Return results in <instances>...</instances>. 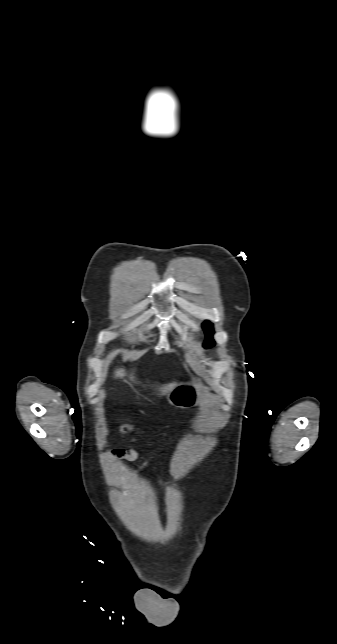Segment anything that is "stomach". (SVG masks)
Masks as SVG:
<instances>
[{
	"label": "stomach",
	"instance_id": "1",
	"mask_svg": "<svg viewBox=\"0 0 337 644\" xmlns=\"http://www.w3.org/2000/svg\"><path fill=\"white\" fill-rule=\"evenodd\" d=\"M209 390L202 378H195L177 385L167 396L168 402L177 408L188 409L199 404L201 397Z\"/></svg>",
	"mask_w": 337,
	"mask_h": 644
}]
</instances>
